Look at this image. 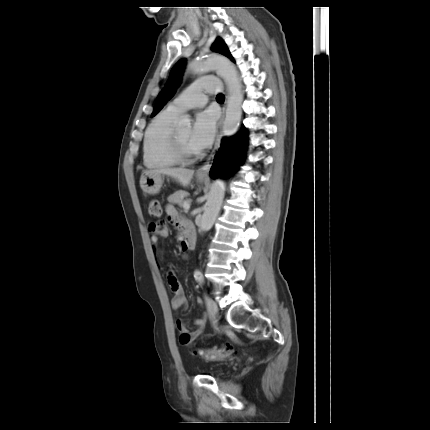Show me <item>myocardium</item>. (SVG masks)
I'll return each instance as SVG.
<instances>
[{
	"label": "myocardium",
	"instance_id": "f54148a6",
	"mask_svg": "<svg viewBox=\"0 0 430 430\" xmlns=\"http://www.w3.org/2000/svg\"><path fill=\"white\" fill-rule=\"evenodd\" d=\"M171 152L174 158L179 163H188L196 160L199 157L198 152L189 151L184 144L181 142L177 129H174L171 135Z\"/></svg>",
	"mask_w": 430,
	"mask_h": 430
}]
</instances>
